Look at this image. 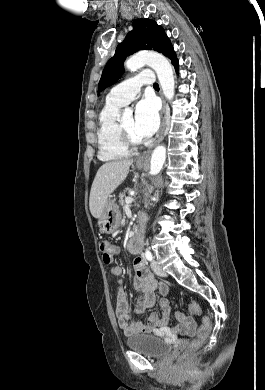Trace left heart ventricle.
Segmentation results:
<instances>
[{"label":"left heart ventricle","instance_id":"b2bd125f","mask_svg":"<svg viewBox=\"0 0 265 390\" xmlns=\"http://www.w3.org/2000/svg\"><path fill=\"white\" fill-rule=\"evenodd\" d=\"M122 124L124 126V128L127 130V132L132 136L134 137L135 139H140L136 133H135V130H134V118L132 116H129L127 118H125L123 121H122Z\"/></svg>","mask_w":265,"mask_h":390}]
</instances>
